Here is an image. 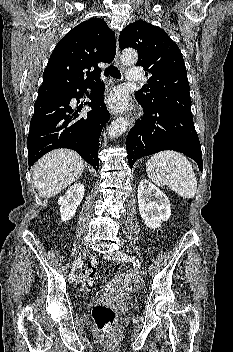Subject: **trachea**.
Instances as JSON below:
<instances>
[{"label": "trachea", "instance_id": "3493384b", "mask_svg": "<svg viewBox=\"0 0 233 352\" xmlns=\"http://www.w3.org/2000/svg\"><path fill=\"white\" fill-rule=\"evenodd\" d=\"M105 76H112L116 79H120L121 78V73L118 70V68L114 65H111L110 67L106 68L105 72H104Z\"/></svg>", "mask_w": 233, "mask_h": 352}]
</instances>
